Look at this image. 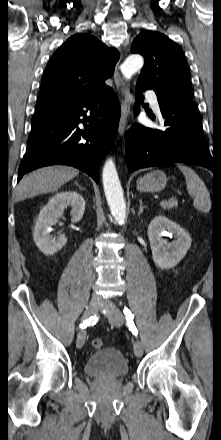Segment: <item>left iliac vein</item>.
I'll use <instances>...</instances> for the list:
<instances>
[{"instance_id": "left-iliac-vein-1", "label": "left iliac vein", "mask_w": 221, "mask_h": 440, "mask_svg": "<svg viewBox=\"0 0 221 440\" xmlns=\"http://www.w3.org/2000/svg\"><path fill=\"white\" fill-rule=\"evenodd\" d=\"M105 305L109 308V312L107 313L109 322L117 327L122 325L124 322V317L119 308L110 300H107ZM134 354L137 357H141L143 355V347L141 342L138 340H136L134 343Z\"/></svg>"}]
</instances>
